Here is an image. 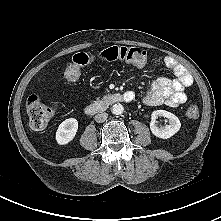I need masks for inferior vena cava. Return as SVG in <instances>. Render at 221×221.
<instances>
[{
	"mask_svg": "<svg viewBox=\"0 0 221 221\" xmlns=\"http://www.w3.org/2000/svg\"><path fill=\"white\" fill-rule=\"evenodd\" d=\"M107 118H108L107 113H99L95 116V121L98 123H102V122L106 121Z\"/></svg>",
	"mask_w": 221,
	"mask_h": 221,
	"instance_id": "obj_1",
	"label": "inferior vena cava"
}]
</instances>
